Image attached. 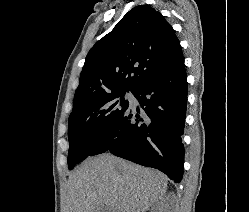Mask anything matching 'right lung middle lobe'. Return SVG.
<instances>
[{
    "instance_id": "dd1d6c3e",
    "label": "right lung middle lobe",
    "mask_w": 249,
    "mask_h": 212,
    "mask_svg": "<svg viewBox=\"0 0 249 212\" xmlns=\"http://www.w3.org/2000/svg\"><path fill=\"white\" fill-rule=\"evenodd\" d=\"M124 95L108 94L73 108L68 126L70 170L86 157L96 155L108 132L129 108Z\"/></svg>"
}]
</instances>
